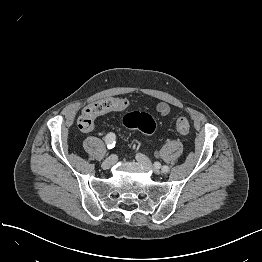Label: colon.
Segmentation results:
<instances>
[{"instance_id": "obj_1", "label": "colon", "mask_w": 262, "mask_h": 262, "mask_svg": "<svg viewBox=\"0 0 262 262\" xmlns=\"http://www.w3.org/2000/svg\"><path fill=\"white\" fill-rule=\"evenodd\" d=\"M105 103L102 101L94 104L96 111H101ZM106 105L116 111H121L127 108L128 102L122 99H107ZM79 127L83 131H88L93 126V120L88 112L83 113L79 118ZM123 125L128 129L139 130L146 135L154 134L156 124L154 119L147 113L132 112L123 117ZM177 132L180 136L186 137L190 132V124L187 118L179 117L176 122Z\"/></svg>"}]
</instances>
